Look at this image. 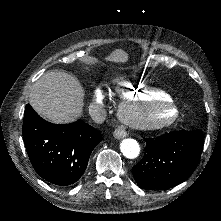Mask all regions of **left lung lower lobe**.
I'll use <instances>...</instances> for the list:
<instances>
[{"mask_svg": "<svg viewBox=\"0 0 221 221\" xmlns=\"http://www.w3.org/2000/svg\"><path fill=\"white\" fill-rule=\"evenodd\" d=\"M144 140V156L132 172L136 183L147 190L168 189L185 181L203 150L201 130H180Z\"/></svg>", "mask_w": 221, "mask_h": 221, "instance_id": "left-lung-lower-lobe-1", "label": "left lung lower lobe"}]
</instances>
